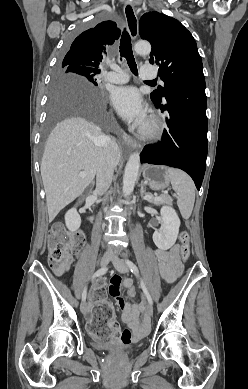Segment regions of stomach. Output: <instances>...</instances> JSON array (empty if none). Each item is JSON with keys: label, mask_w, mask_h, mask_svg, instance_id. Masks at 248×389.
<instances>
[{"label": "stomach", "mask_w": 248, "mask_h": 389, "mask_svg": "<svg viewBox=\"0 0 248 389\" xmlns=\"http://www.w3.org/2000/svg\"><path fill=\"white\" fill-rule=\"evenodd\" d=\"M167 167L161 165H145L143 168L144 180L153 190H162L169 186L170 180Z\"/></svg>", "instance_id": "1"}]
</instances>
